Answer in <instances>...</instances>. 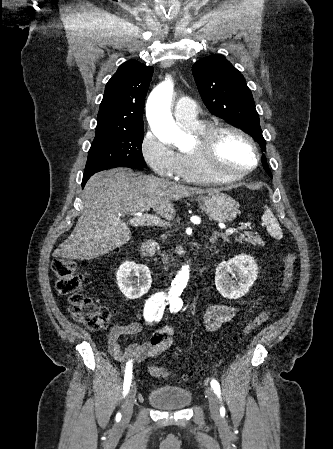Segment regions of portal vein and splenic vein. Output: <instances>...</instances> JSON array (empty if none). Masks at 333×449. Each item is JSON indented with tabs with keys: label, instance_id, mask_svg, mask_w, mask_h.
I'll list each match as a JSON object with an SVG mask.
<instances>
[{
	"label": "portal vein and splenic vein",
	"instance_id": "obj_1",
	"mask_svg": "<svg viewBox=\"0 0 333 449\" xmlns=\"http://www.w3.org/2000/svg\"><path fill=\"white\" fill-rule=\"evenodd\" d=\"M132 224L135 226L140 225H150V226H168V222H165L158 218L157 216L149 215V214H142V213H136L134 214V218L132 219ZM237 232L236 228H229L225 231V235H231Z\"/></svg>",
	"mask_w": 333,
	"mask_h": 449
}]
</instances>
